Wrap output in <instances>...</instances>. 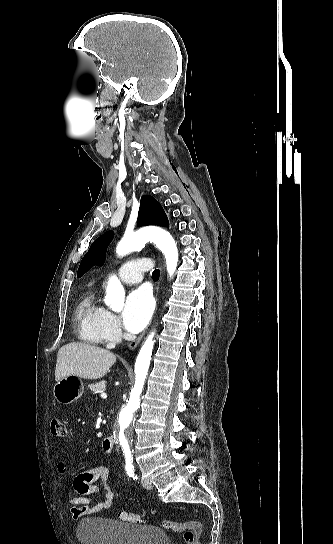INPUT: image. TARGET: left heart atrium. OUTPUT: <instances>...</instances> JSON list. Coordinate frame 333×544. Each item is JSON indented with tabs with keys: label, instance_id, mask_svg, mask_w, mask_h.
<instances>
[{
	"label": "left heart atrium",
	"instance_id": "39dd6f15",
	"mask_svg": "<svg viewBox=\"0 0 333 544\" xmlns=\"http://www.w3.org/2000/svg\"><path fill=\"white\" fill-rule=\"evenodd\" d=\"M154 302L151 292L139 287L127 296L122 312V322L127 331L137 333L148 323L153 312Z\"/></svg>",
	"mask_w": 333,
	"mask_h": 544
}]
</instances>
